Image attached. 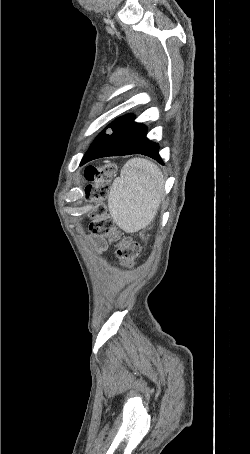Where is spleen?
Segmentation results:
<instances>
[{
	"label": "spleen",
	"mask_w": 250,
	"mask_h": 454,
	"mask_svg": "<svg viewBox=\"0 0 250 454\" xmlns=\"http://www.w3.org/2000/svg\"><path fill=\"white\" fill-rule=\"evenodd\" d=\"M163 184L162 172L152 162L142 158L127 161L108 195L114 222L128 233L146 228L158 212Z\"/></svg>",
	"instance_id": "3e777b00"
}]
</instances>
